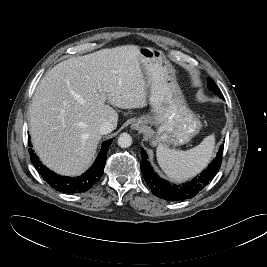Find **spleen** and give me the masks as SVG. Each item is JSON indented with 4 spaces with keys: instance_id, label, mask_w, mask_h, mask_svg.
Wrapping results in <instances>:
<instances>
[{
    "instance_id": "obj_1",
    "label": "spleen",
    "mask_w": 267,
    "mask_h": 267,
    "mask_svg": "<svg viewBox=\"0 0 267 267\" xmlns=\"http://www.w3.org/2000/svg\"><path fill=\"white\" fill-rule=\"evenodd\" d=\"M214 135H209L196 147L182 151L160 144L156 156L165 174L176 181L187 180L201 172L213 156Z\"/></svg>"
}]
</instances>
